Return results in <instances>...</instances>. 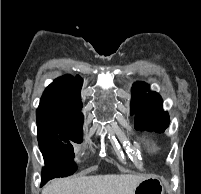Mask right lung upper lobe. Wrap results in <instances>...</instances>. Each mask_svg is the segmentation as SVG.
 Returning a JSON list of instances; mask_svg holds the SVG:
<instances>
[{
  "mask_svg": "<svg viewBox=\"0 0 201 194\" xmlns=\"http://www.w3.org/2000/svg\"><path fill=\"white\" fill-rule=\"evenodd\" d=\"M83 80L80 76L75 78L71 75H64L53 81L44 91L39 107L58 106L66 113L77 119H83L80 111L82 102L80 90Z\"/></svg>",
  "mask_w": 201,
  "mask_h": 194,
  "instance_id": "right-lung-upper-lobe-1",
  "label": "right lung upper lobe"
}]
</instances>
